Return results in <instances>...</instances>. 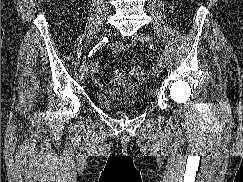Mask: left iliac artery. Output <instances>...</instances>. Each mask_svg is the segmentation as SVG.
Here are the masks:
<instances>
[{"mask_svg": "<svg viewBox=\"0 0 243 182\" xmlns=\"http://www.w3.org/2000/svg\"><path fill=\"white\" fill-rule=\"evenodd\" d=\"M149 40H150V38H149ZM150 47H151V49L154 50V45H153V42L152 41L150 42Z\"/></svg>", "mask_w": 243, "mask_h": 182, "instance_id": "obj_1", "label": "left iliac artery"}]
</instances>
